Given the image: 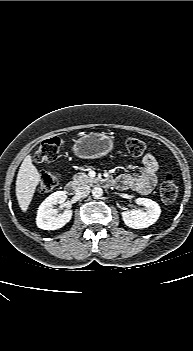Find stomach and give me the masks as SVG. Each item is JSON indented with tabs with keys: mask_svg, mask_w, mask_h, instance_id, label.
<instances>
[{
	"mask_svg": "<svg viewBox=\"0 0 193 351\" xmlns=\"http://www.w3.org/2000/svg\"><path fill=\"white\" fill-rule=\"evenodd\" d=\"M113 146V139L105 133L91 132L75 140L72 151L78 158L94 159L107 155Z\"/></svg>",
	"mask_w": 193,
	"mask_h": 351,
	"instance_id": "stomach-1",
	"label": "stomach"
}]
</instances>
